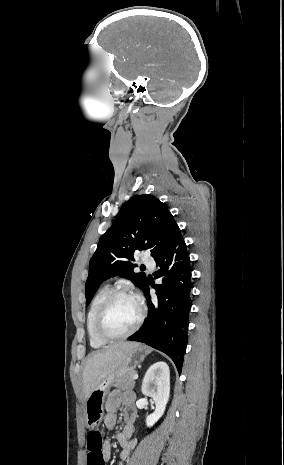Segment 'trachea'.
Wrapping results in <instances>:
<instances>
[{
  "label": "trachea",
  "mask_w": 284,
  "mask_h": 465,
  "mask_svg": "<svg viewBox=\"0 0 284 465\" xmlns=\"http://www.w3.org/2000/svg\"><path fill=\"white\" fill-rule=\"evenodd\" d=\"M140 269L145 270L146 269L145 265H141Z\"/></svg>",
  "instance_id": "trachea-1"
}]
</instances>
